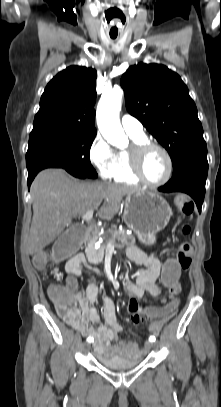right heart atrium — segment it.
Returning <instances> with one entry per match:
<instances>
[{
  "label": "right heart atrium",
  "mask_w": 221,
  "mask_h": 407,
  "mask_svg": "<svg viewBox=\"0 0 221 407\" xmlns=\"http://www.w3.org/2000/svg\"><path fill=\"white\" fill-rule=\"evenodd\" d=\"M89 157L92 165L102 178H112L117 164L116 152L99 134L96 135L91 144Z\"/></svg>",
  "instance_id": "obj_1"
}]
</instances>
